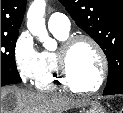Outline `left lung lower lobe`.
<instances>
[{
    "mask_svg": "<svg viewBox=\"0 0 123 113\" xmlns=\"http://www.w3.org/2000/svg\"><path fill=\"white\" fill-rule=\"evenodd\" d=\"M104 95H111V94H105V93H104Z\"/></svg>",
    "mask_w": 123,
    "mask_h": 113,
    "instance_id": "0a47b994",
    "label": "left lung lower lobe"
}]
</instances>
